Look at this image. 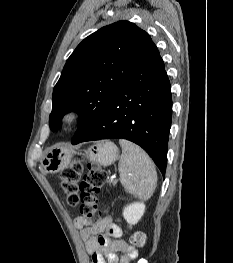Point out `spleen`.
I'll list each match as a JSON object with an SVG mask.
<instances>
[{"label": "spleen", "instance_id": "obj_1", "mask_svg": "<svg viewBox=\"0 0 233 263\" xmlns=\"http://www.w3.org/2000/svg\"><path fill=\"white\" fill-rule=\"evenodd\" d=\"M122 155L119 162L120 182L127 192L148 200L157 185V173L147 153L136 144L120 139Z\"/></svg>", "mask_w": 233, "mask_h": 263}]
</instances>
